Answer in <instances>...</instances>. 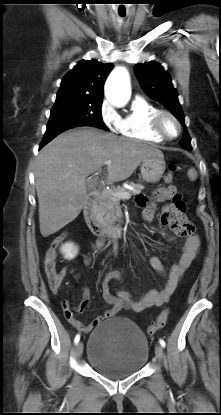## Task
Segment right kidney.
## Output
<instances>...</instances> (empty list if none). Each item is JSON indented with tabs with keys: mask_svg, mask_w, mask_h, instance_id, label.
Wrapping results in <instances>:
<instances>
[{
	"mask_svg": "<svg viewBox=\"0 0 221 415\" xmlns=\"http://www.w3.org/2000/svg\"><path fill=\"white\" fill-rule=\"evenodd\" d=\"M61 253L64 255V258L67 260L74 259L78 254V247L73 243H66L61 247Z\"/></svg>",
	"mask_w": 221,
	"mask_h": 415,
	"instance_id": "1",
	"label": "right kidney"
}]
</instances>
